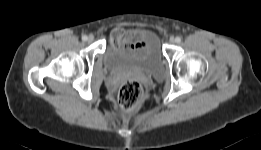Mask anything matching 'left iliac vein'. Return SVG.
<instances>
[{
    "label": "left iliac vein",
    "instance_id": "1",
    "mask_svg": "<svg viewBox=\"0 0 261 150\" xmlns=\"http://www.w3.org/2000/svg\"><path fill=\"white\" fill-rule=\"evenodd\" d=\"M169 41H170V43H175L176 42L174 37H171Z\"/></svg>",
    "mask_w": 261,
    "mask_h": 150
}]
</instances>
